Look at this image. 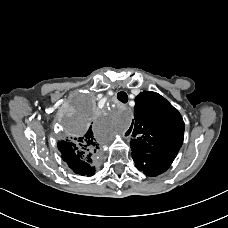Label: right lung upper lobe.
Wrapping results in <instances>:
<instances>
[{
    "label": "right lung upper lobe",
    "mask_w": 228,
    "mask_h": 228,
    "mask_svg": "<svg viewBox=\"0 0 228 228\" xmlns=\"http://www.w3.org/2000/svg\"><path fill=\"white\" fill-rule=\"evenodd\" d=\"M58 148L63 160L75 173L88 176L94 174L92 164L98 154L99 144L93 136L91 127L83 136L59 141Z\"/></svg>",
    "instance_id": "cb5924a9"
}]
</instances>
